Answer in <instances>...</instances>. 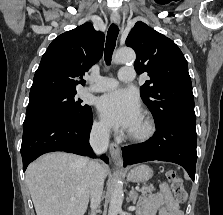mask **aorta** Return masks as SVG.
I'll use <instances>...</instances> for the list:
<instances>
[{
	"label": "aorta",
	"instance_id": "obj_1",
	"mask_svg": "<svg viewBox=\"0 0 223 215\" xmlns=\"http://www.w3.org/2000/svg\"><path fill=\"white\" fill-rule=\"evenodd\" d=\"M135 58L136 54L131 48H119L112 62H114V64H133ZM123 197L122 181L116 177V179H114V187L111 193L108 215H117L118 211L121 209Z\"/></svg>",
	"mask_w": 223,
	"mask_h": 215
}]
</instances>
